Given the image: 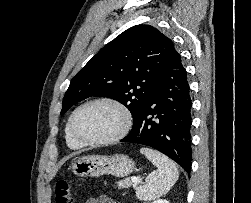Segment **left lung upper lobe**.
I'll return each mask as SVG.
<instances>
[{
	"label": "left lung upper lobe",
	"mask_w": 251,
	"mask_h": 203,
	"mask_svg": "<svg viewBox=\"0 0 251 203\" xmlns=\"http://www.w3.org/2000/svg\"><path fill=\"white\" fill-rule=\"evenodd\" d=\"M173 51L171 39L150 25L127 29L73 77L63 99L61 115L81 100L104 96L125 105L134 124Z\"/></svg>",
	"instance_id": "left-lung-upper-lobe-1"
}]
</instances>
